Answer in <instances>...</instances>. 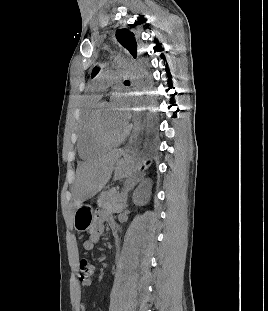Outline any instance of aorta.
<instances>
[{
	"instance_id": "aorta-1",
	"label": "aorta",
	"mask_w": 268,
	"mask_h": 311,
	"mask_svg": "<svg viewBox=\"0 0 268 311\" xmlns=\"http://www.w3.org/2000/svg\"><path fill=\"white\" fill-rule=\"evenodd\" d=\"M120 66L127 67L126 68V75L128 76V79H130L131 83H135L134 88V100H133V122L132 127L133 135L131 137L132 144L135 145L138 139L139 134V124H140V99H141V88L138 87V81L139 79V72L137 71V68H134L133 65H128L126 60H120L119 61Z\"/></svg>"
}]
</instances>
